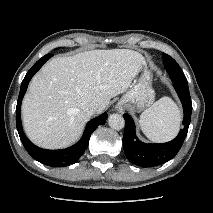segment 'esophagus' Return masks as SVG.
I'll return each mask as SVG.
<instances>
[{
  "mask_svg": "<svg viewBox=\"0 0 213 213\" xmlns=\"http://www.w3.org/2000/svg\"><path fill=\"white\" fill-rule=\"evenodd\" d=\"M117 111L123 112L124 110V105L122 103H118L116 106Z\"/></svg>",
  "mask_w": 213,
  "mask_h": 213,
  "instance_id": "obj_1",
  "label": "esophagus"
}]
</instances>
